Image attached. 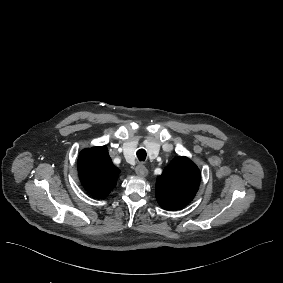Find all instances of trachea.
<instances>
[{
    "mask_svg": "<svg viewBox=\"0 0 283 283\" xmlns=\"http://www.w3.org/2000/svg\"><path fill=\"white\" fill-rule=\"evenodd\" d=\"M147 156V153L144 149H139L137 151V158L139 159V161H145Z\"/></svg>",
    "mask_w": 283,
    "mask_h": 283,
    "instance_id": "3493384b",
    "label": "trachea"
}]
</instances>
